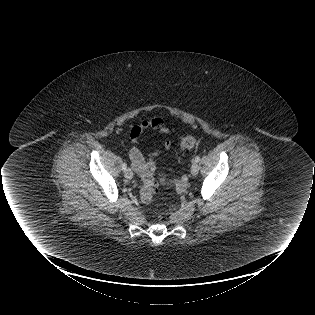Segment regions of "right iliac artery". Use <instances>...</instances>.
<instances>
[{
	"label": "right iliac artery",
	"mask_w": 315,
	"mask_h": 315,
	"mask_svg": "<svg viewBox=\"0 0 315 315\" xmlns=\"http://www.w3.org/2000/svg\"><path fill=\"white\" fill-rule=\"evenodd\" d=\"M126 168H127V164H126V162H124V163L122 164V170L125 171Z\"/></svg>",
	"instance_id": "obj_1"
}]
</instances>
